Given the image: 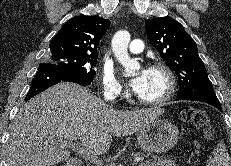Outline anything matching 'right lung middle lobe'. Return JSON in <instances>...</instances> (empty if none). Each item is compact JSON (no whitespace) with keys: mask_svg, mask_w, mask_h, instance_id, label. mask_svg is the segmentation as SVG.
<instances>
[{"mask_svg":"<svg viewBox=\"0 0 231 166\" xmlns=\"http://www.w3.org/2000/svg\"><path fill=\"white\" fill-rule=\"evenodd\" d=\"M45 63L62 67L70 72L83 76L87 80L93 81L96 74L93 68L96 66L97 57L47 54Z\"/></svg>","mask_w":231,"mask_h":166,"instance_id":"dd1d6c3e","label":"right lung middle lobe"}]
</instances>
